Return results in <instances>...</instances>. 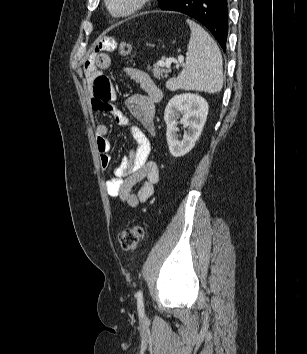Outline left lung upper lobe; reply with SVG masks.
Returning <instances> with one entry per match:
<instances>
[{
	"instance_id": "left-lung-upper-lobe-1",
	"label": "left lung upper lobe",
	"mask_w": 307,
	"mask_h": 354,
	"mask_svg": "<svg viewBox=\"0 0 307 354\" xmlns=\"http://www.w3.org/2000/svg\"><path fill=\"white\" fill-rule=\"evenodd\" d=\"M170 0H158L159 2V7L162 8L164 7Z\"/></svg>"
}]
</instances>
